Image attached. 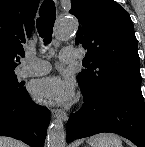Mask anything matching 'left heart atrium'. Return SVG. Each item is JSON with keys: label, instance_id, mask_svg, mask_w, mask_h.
<instances>
[{"label": "left heart atrium", "instance_id": "1", "mask_svg": "<svg viewBox=\"0 0 145 147\" xmlns=\"http://www.w3.org/2000/svg\"><path fill=\"white\" fill-rule=\"evenodd\" d=\"M32 95L37 101L60 105L70 100L73 95V86L70 81L60 77H48L38 80L34 84Z\"/></svg>", "mask_w": 145, "mask_h": 147}]
</instances>
